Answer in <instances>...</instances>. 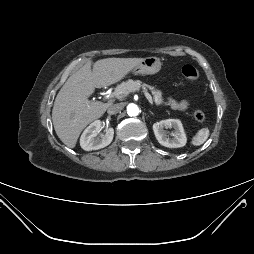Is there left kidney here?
Segmentation results:
<instances>
[{
	"instance_id": "1",
	"label": "left kidney",
	"mask_w": 254,
	"mask_h": 254,
	"mask_svg": "<svg viewBox=\"0 0 254 254\" xmlns=\"http://www.w3.org/2000/svg\"><path fill=\"white\" fill-rule=\"evenodd\" d=\"M164 128H173L167 135ZM153 131L158 142L168 148H179L186 144L187 138L182 123L178 119H166L153 124Z\"/></svg>"
}]
</instances>
